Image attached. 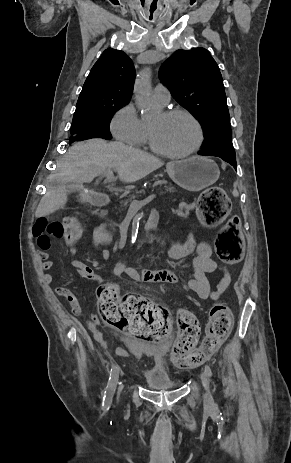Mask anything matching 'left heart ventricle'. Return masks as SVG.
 I'll return each instance as SVG.
<instances>
[{"instance_id":"left-heart-ventricle-1","label":"left heart ventricle","mask_w":291,"mask_h":463,"mask_svg":"<svg viewBox=\"0 0 291 463\" xmlns=\"http://www.w3.org/2000/svg\"><path fill=\"white\" fill-rule=\"evenodd\" d=\"M156 144L163 150L179 153L190 149L197 140V129L185 116L165 117L150 122Z\"/></svg>"}]
</instances>
